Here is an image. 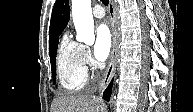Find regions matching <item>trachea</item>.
Listing matches in <instances>:
<instances>
[{
	"label": "trachea",
	"instance_id": "3493384b",
	"mask_svg": "<svg viewBox=\"0 0 193 112\" xmlns=\"http://www.w3.org/2000/svg\"><path fill=\"white\" fill-rule=\"evenodd\" d=\"M102 3L107 6L109 4V0H102Z\"/></svg>",
	"mask_w": 193,
	"mask_h": 112
}]
</instances>
